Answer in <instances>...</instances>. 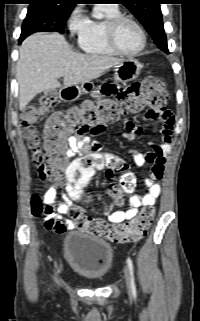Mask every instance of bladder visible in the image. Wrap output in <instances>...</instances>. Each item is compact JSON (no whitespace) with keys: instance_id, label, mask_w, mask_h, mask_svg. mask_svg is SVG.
Returning <instances> with one entry per match:
<instances>
[{"instance_id":"1","label":"bladder","mask_w":200,"mask_h":321,"mask_svg":"<svg viewBox=\"0 0 200 321\" xmlns=\"http://www.w3.org/2000/svg\"><path fill=\"white\" fill-rule=\"evenodd\" d=\"M64 252L70 267L90 280H103L113 266V249L103 239L87 232L73 231L64 239Z\"/></svg>"}]
</instances>
